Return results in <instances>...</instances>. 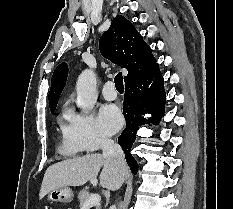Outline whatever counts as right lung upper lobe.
Returning <instances> with one entry per match:
<instances>
[{"label": "right lung upper lobe", "instance_id": "cb5924a9", "mask_svg": "<svg viewBox=\"0 0 233 209\" xmlns=\"http://www.w3.org/2000/svg\"><path fill=\"white\" fill-rule=\"evenodd\" d=\"M99 48L105 58L128 70V75L124 77L125 85L145 76L158 65L140 33L122 15L112 20L111 26L99 40ZM67 75L66 63L60 64L53 73L49 92L50 111L56 109Z\"/></svg>", "mask_w": 233, "mask_h": 209}]
</instances>
